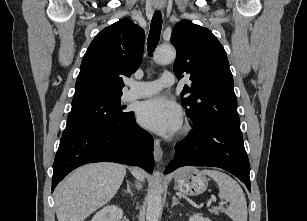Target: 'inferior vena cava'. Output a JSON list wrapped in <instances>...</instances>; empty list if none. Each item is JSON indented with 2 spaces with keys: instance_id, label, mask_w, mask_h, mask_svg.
<instances>
[{
  "instance_id": "602c4592",
  "label": "inferior vena cava",
  "mask_w": 307,
  "mask_h": 221,
  "mask_svg": "<svg viewBox=\"0 0 307 221\" xmlns=\"http://www.w3.org/2000/svg\"><path fill=\"white\" fill-rule=\"evenodd\" d=\"M137 188H138V189L140 188V185H139V184H137Z\"/></svg>"
}]
</instances>
